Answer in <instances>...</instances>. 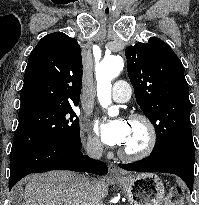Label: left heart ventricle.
I'll return each mask as SVG.
<instances>
[{"label": "left heart ventricle", "instance_id": "obj_1", "mask_svg": "<svg viewBox=\"0 0 199 205\" xmlns=\"http://www.w3.org/2000/svg\"><path fill=\"white\" fill-rule=\"evenodd\" d=\"M129 134L122 145L127 150H136L140 148L145 141V130L141 124L129 122Z\"/></svg>", "mask_w": 199, "mask_h": 205}]
</instances>
